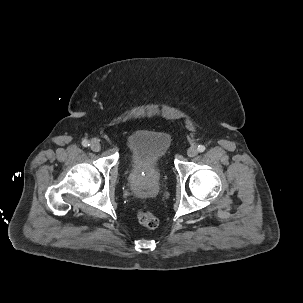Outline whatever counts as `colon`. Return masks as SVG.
<instances>
[{
  "mask_svg": "<svg viewBox=\"0 0 303 303\" xmlns=\"http://www.w3.org/2000/svg\"><path fill=\"white\" fill-rule=\"evenodd\" d=\"M138 222L147 228L153 229L159 225L158 217L148 210H140L137 214Z\"/></svg>",
  "mask_w": 303,
  "mask_h": 303,
  "instance_id": "5ec220e1",
  "label": "colon"
}]
</instances>
